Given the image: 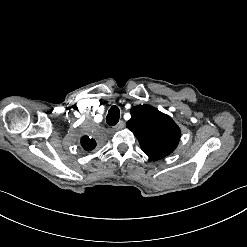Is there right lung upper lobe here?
Returning <instances> with one entry per match:
<instances>
[{
    "label": "right lung upper lobe",
    "instance_id": "right-lung-upper-lobe-1",
    "mask_svg": "<svg viewBox=\"0 0 247 247\" xmlns=\"http://www.w3.org/2000/svg\"><path fill=\"white\" fill-rule=\"evenodd\" d=\"M81 145L86 151H91L96 146V141L87 135L81 138Z\"/></svg>",
    "mask_w": 247,
    "mask_h": 247
}]
</instances>
